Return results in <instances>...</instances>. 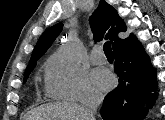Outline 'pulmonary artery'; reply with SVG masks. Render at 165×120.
Returning <instances> with one entry per match:
<instances>
[{"label":"pulmonary artery","instance_id":"obj_1","mask_svg":"<svg viewBox=\"0 0 165 120\" xmlns=\"http://www.w3.org/2000/svg\"><path fill=\"white\" fill-rule=\"evenodd\" d=\"M91 59L95 63H104L106 61V56L100 46H96L93 48L91 52Z\"/></svg>","mask_w":165,"mask_h":120}]
</instances>
